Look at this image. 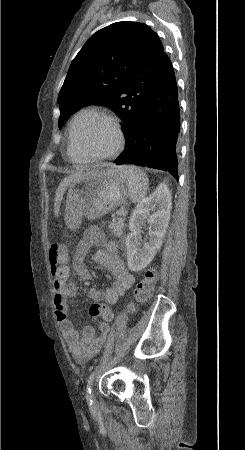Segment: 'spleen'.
I'll return each instance as SVG.
<instances>
[{
	"label": "spleen",
	"instance_id": "spleen-1",
	"mask_svg": "<svg viewBox=\"0 0 245 450\" xmlns=\"http://www.w3.org/2000/svg\"><path fill=\"white\" fill-rule=\"evenodd\" d=\"M118 169L128 184L130 200L139 203L146 196L149 187L146 173L136 166L123 165Z\"/></svg>",
	"mask_w": 245,
	"mask_h": 450
}]
</instances>
